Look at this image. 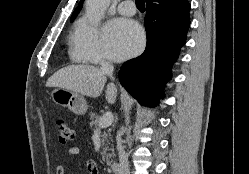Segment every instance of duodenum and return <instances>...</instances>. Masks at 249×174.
<instances>
[{
  "label": "duodenum",
  "instance_id": "duodenum-1",
  "mask_svg": "<svg viewBox=\"0 0 249 174\" xmlns=\"http://www.w3.org/2000/svg\"><path fill=\"white\" fill-rule=\"evenodd\" d=\"M110 168L113 174H120V165L118 163H112Z\"/></svg>",
  "mask_w": 249,
  "mask_h": 174
}]
</instances>
